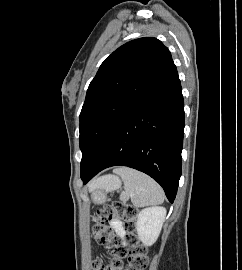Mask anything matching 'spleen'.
Instances as JSON below:
<instances>
[{
    "label": "spleen",
    "instance_id": "spleen-1",
    "mask_svg": "<svg viewBox=\"0 0 242 270\" xmlns=\"http://www.w3.org/2000/svg\"><path fill=\"white\" fill-rule=\"evenodd\" d=\"M117 174L124 182L121 200L126 201L130 198L136 207L163 203L165 198L163 189L148 175L127 167L117 170Z\"/></svg>",
    "mask_w": 242,
    "mask_h": 270
}]
</instances>
